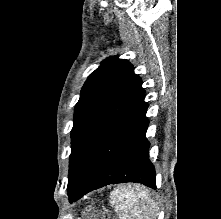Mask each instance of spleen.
<instances>
[{
  "instance_id": "spleen-1",
  "label": "spleen",
  "mask_w": 221,
  "mask_h": 219,
  "mask_svg": "<svg viewBox=\"0 0 221 219\" xmlns=\"http://www.w3.org/2000/svg\"><path fill=\"white\" fill-rule=\"evenodd\" d=\"M110 203L119 219H154L158 212L149 192L138 184L119 186L111 192Z\"/></svg>"
}]
</instances>
